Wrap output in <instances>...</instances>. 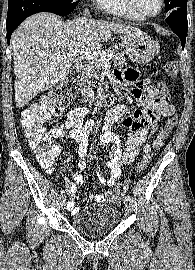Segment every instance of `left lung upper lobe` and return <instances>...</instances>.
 I'll return each mask as SVG.
<instances>
[{"label":"left lung upper lobe","instance_id":"5c2ea615","mask_svg":"<svg viewBox=\"0 0 195 270\" xmlns=\"http://www.w3.org/2000/svg\"><path fill=\"white\" fill-rule=\"evenodd\" d=\"M164 2L167 12L177 7H187V0H164Z\"/></svg>","mask_w":195,"mask_h":270}]
</instances>
